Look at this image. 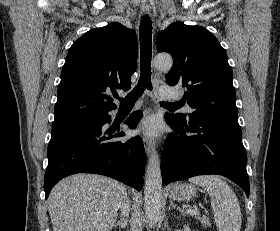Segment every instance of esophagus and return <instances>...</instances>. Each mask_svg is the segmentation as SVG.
<instances>
[{
    "label": "esophagus",
    "mask_w": 280,
    "mask_h": 231,
    "mask_svg": "<svg viewBox=\"0 0 280 231\" xmlns=\"http://www.w3.org/2000/svg\"><path fill=\"white\" fill-rule=\"evenodd\" d=\"M141 12L143 15H150L151 13V8L149 6H142L141 7ZM143 145L145 148V152L147 156H150L152 152L154 151V143L153 141L148 138L147 136L143 137Z\"/></svg>",
    "instance_id": "esophagus-1"
}]
</instances>
